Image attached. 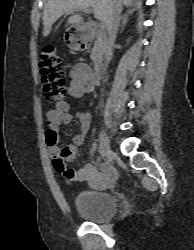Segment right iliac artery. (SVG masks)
<instances>
[{
  "label": "right iliac artery",
  "mask_w": 194,
  "mask_h": 250,
  "mask_svg": "<svg viewBox=\"0 0 194 250\" xmlns=\"http://www.w3.org/2000/svg\"><path fill=\"white\" fill-rule=\"evenodd\" d=\"M92 147H93V150H97V149H98V145H97V143H96V142H94V143H93V145H92ZM99 149H100V147H99Z\"/></svg>",
  "instance_id": "1"
}]
</instances>
